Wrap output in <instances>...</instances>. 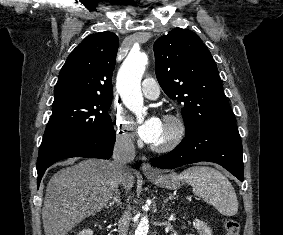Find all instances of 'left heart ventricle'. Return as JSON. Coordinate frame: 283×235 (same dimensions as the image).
I'll return each instance as SVG.
<instances>
[{"mask_svg": "<svg viewBox=\"0 0 283 235\" xmlns=\"http://www.w3.org/2000/svg\"><path fill=\"white\" fill-rule=\"evenodd\" d=\"M172 133V128L171 126L167 125L165 122L163 123V130L161 132L160 137L158 138V140L154 143V145H158V144H162L164 142H166L170 135Z\"/></svg>", "mask_w": 283, "mask_h": 235, "instance_id": "1", "label": "left heart ventricle"}]
</instances>
